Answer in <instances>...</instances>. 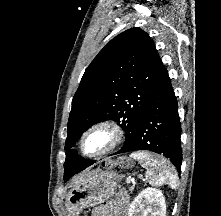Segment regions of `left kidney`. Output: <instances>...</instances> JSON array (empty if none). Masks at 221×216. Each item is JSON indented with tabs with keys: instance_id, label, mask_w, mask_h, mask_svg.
I'll return each mask as SVG.
<instances>
[{
	"instance_id": "left-kidney-1",
	"label": "left kidney",
	"mask_w": 221,
	"mask_h": 216,
	"mask_svg": "<svg viewBox=\"0 0 221 216\" xmlns=\"http://www.w3.org/2000/svg\"><path fill=\"white\" fill-rule=\"evenodd\" d=\"M128 216H166V204L162 191L146 188L132 201Z\"/></svg>"
}]
</instances>
